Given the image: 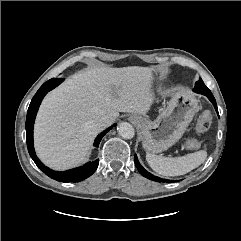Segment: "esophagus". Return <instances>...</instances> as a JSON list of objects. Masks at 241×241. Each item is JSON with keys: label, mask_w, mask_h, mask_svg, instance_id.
Wrapping results in <instances>:
<instances>
[{"label": "esophagus", "mask_w": 241, "mask_h": 241, "mask_svg": "<svg viewBox=\"0 0 241 241\" xmlns=\"http://www.w3.org/2000/svg\"><path fill=\"white\" fill-rule=\"evenodd\" d=\"M131 122H135L136 121V118L135 117H130V119H129Z\"/></svg>", "instance_id": "esophagus-1"}]
</instances>
